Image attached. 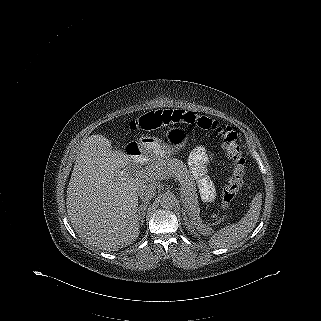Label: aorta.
Here are the masks:
<instances>
[{
    "label": "aorta",
    "mask_w": 321,
    "mask_h": 321,
    "mask_svg": "<svg viewBox=\"0 0 321 321\" xmlns=\"http://www.w3.org/2000/svg\"><path fill=\"white\" fill-rule=\"evenodd\" d=\"M159 202L162 208L171 209L175 207L177 199L174 194L166 192L161 195Z\"/></svg>",
    "instance_id": "aorta-1"
}]
</instances>
